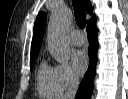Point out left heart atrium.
Instances as JSON below:
<instances>
[{
    "instance_id": "obj_1",
    "label": "left heart atrium",
    "mask_w": 128,
    "mask_h": 99,
    "mask_svg": "<svg viewBox=\"0 0 128 99\" xmlns=\"http://www.w3.org/2000/svg\"><path fill=\"white\" fill-rule=\"evenodd\" d=\"M88 57L84 51H75L72 56V64L77 74H83L88 67Z\"/></svg>"
}]
</instances>
